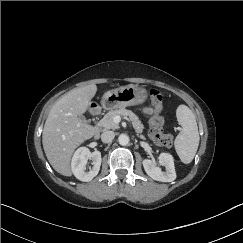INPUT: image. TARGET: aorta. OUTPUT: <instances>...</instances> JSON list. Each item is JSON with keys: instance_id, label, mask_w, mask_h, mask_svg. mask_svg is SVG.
Segmentation results:
<instances>
[{"instance_id": "762f6f07", "label": "aorta", "mask_w": 243, "mask_h": 243, "mask_svg": "<svg viewBox=\"0 0 243 243\" xmlns=\"http://www.w3.org/2000/svg\"><path fill=\"white\" fill-rule=\"evenodd\" d=\"M130 139L126 134H120L118 137V142L120 145L125 146L129 143Z\"/></svg>"}]
</instances>
